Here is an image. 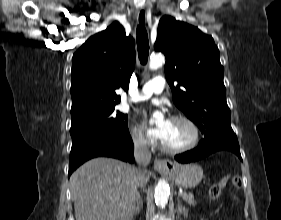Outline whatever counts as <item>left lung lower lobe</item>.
Listing matches in <instances>:
<instances>
[{"instance_id":"0a47b994","label":"left lung lower lobe","mask_w":281,"mask_h":220,"mask_svg":"<svg viewBox=\"0 0 281 220\" xmlns=\"http://www.w3.org/2000/svg\"><path fill=\"white\" fill-rule=\"evenodd\" d=\"M228 150L235 153L241 160L237 138L222 137L220 139H203L199 146L191 151L175 156L180 163H189L200 160L216 151Z\"/></svg>"}]
</instances>
